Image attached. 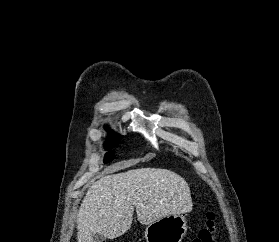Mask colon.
<instances>
[{"mask_svg":"<svg viewBox=\"0 0 279 242\" xmlns=\"http://www.w3.org/2000/svg\"><path fill=\"white\" fill-rule=\"evenodd\" d=\"M215 240V214L209 212L206 215V222L204 227L200 230L198 235L194 237L191 242H214Z\"/></svg>","mask_w":279,"mask_h":242,"instance_id":"obj_1","label":"colon"}]
</instances>
